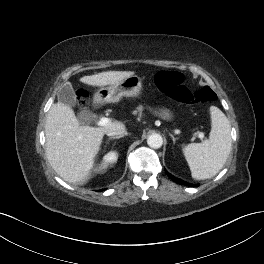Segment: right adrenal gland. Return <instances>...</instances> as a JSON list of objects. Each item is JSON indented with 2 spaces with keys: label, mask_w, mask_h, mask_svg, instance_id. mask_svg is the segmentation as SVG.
Segmentation results:
<instances>
[{
  "label": "right adrenal gland",
  "mask_w": 264,
  "mask_h": 264,
  "mask_svg": "<svg viewBox=\"0 0 264 264\" xmlns=\"http://www.w3.org/2000/svg\"><path fill=\"white\" fill-rule=\"evenodd\" d=\"M123 136H124V135H119V136L110 137V138L108 139L107 143H109L110 140L120 139V138H122Z\"/></svg>",
  "instance_id": "obj_1"
}]
</instances>
